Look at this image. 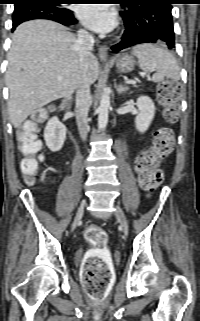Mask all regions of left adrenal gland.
I'll return each mask as SVG.
<instances>
[{"instance_id": "obj_1", "label": "left adrenal gland", "mask_w": 200, "mask_h": 321, "mask_svg": "<svg viewBox=\"0 0 200 321\" xmlns=\"http://www.w3.org/2000/svg\"><path fill=\"white\" fill-rule=\"evenodd\" d=\"M115 88L119 94L124 93L129 89L127 85H121V84L120 85L115 84Z\"/></svg>"}]
</instances>
